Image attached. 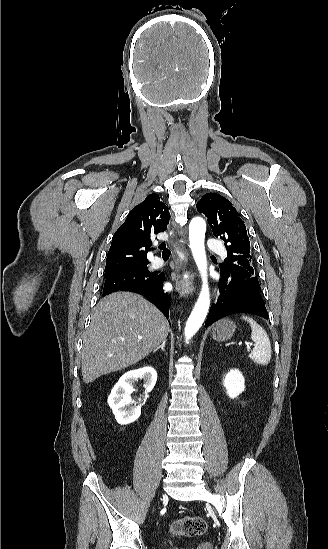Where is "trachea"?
<instances>
[{"mask_svg": "<svg viewBox=\"0 0 328 549\" xmlns=\"http://www.w3.org/2000/svg\"><path fill=\"white\" fill-rule=\"evenodd\" d=\"M159 249L162 250V255L169 256L171 254L170 250L167 249L165 242H162V244L159 245Z\"/></svg>", "mask_w": 328, "mask_h": 549, "instance_id": "3493384b", "label": "trachea"}]
</instances>
